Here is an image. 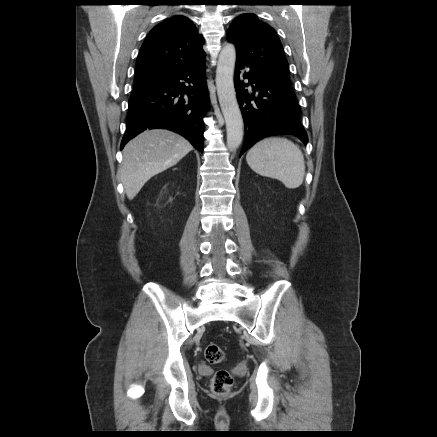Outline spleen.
I'll return each instance as SVG.
<instances>
[{
  "mask_svg": "<svg viewBox=\"0 0 437 437\" xmlns=\"http://www.w3.org/2000/svg\"><path fill=\"white\" fill-rule=\"evenodd\" d=\"M250 168L261 176L277 179L286 188L299 187L305 176V161L299 146L281 137L257 142L247 153Z\"/></svg>",
  "mask_w": 437,
  "mask_h": 437,
  "instance_id": "obj_1",
  "label": "spleen"
}]
</instances>
